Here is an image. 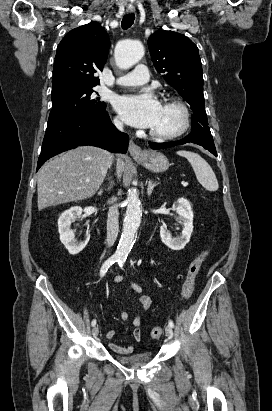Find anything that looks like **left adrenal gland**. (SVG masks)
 I'll list each match as a JSON object with an SVG mask.
<instances>
[{
    "instance_id": "1",
    "label": "left adrenal gland",
    "mask_w": 272,
    "mask_h": 411,
    "mask_svg": "<svg viewBox=\"0 0 272 411\" xmlns=\"http://www.w3.org/2000/svg\"><path fill=\"white\" fill-rule=\"evenodd\" d=\"M147 194L148 196H150L152 194L153 189L155 188V186H157L159 184V182H153L152 180H147Z\"/></svg>"
}]
</instances>
